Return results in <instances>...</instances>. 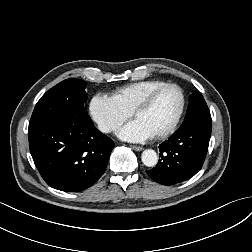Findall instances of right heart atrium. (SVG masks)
Segmentation results:
<instances>
[{
  "label": "right heart atrium",
  "mask_w": 252,
  "mask_h": 252,
  "mask_svg": "<svg viewBox=\"0 0 252 252\" xmlns=\"http://www.w3.org/2000/svg\"><path fill=\"white\" fill-rule=\"evenodd\" d=\"M91 119L104 133L115 132L131 117V112L121 107L111 96L94 94L88 105Z\"/></svg>",
  "instance_id": "d8ad5b80"
}]
</instances>
